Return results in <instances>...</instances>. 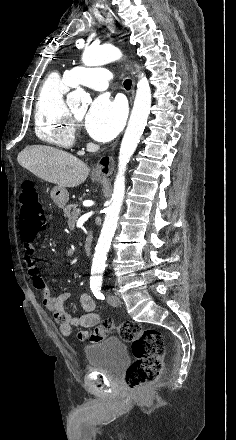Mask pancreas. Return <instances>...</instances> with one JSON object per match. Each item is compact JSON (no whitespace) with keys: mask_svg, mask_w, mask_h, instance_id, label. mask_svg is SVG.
I'll list each match as a JSON object with an SVG mask.
<instances>
[{"mask_svg":"<svg viewBox=\"0 0 236 440\" xmlns=\"http://www.w3.org/2000/svg\"><path fill=\"white\" fill-rule=\"evenodd\" d=\"M77 206H78L77 204L67 205L64 209V217L69 218V219H76L78 216L76 214Z\"/></svg>","mask_w":236,"mask_h":440,"instance_id":"cf45deb5","label":"pancreas"}]
</instances>
